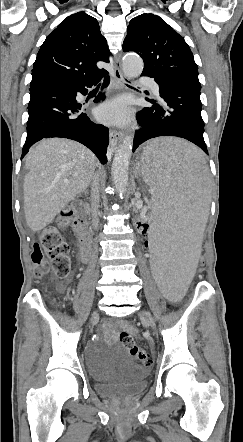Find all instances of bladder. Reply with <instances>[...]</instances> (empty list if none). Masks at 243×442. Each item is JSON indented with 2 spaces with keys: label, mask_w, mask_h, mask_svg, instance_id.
I'll return each instance as SVG.
<instances>
[{
  "label": "bladder",
  "mask_w": 243,
  "mask_h": 442,
  "mask_svg": "<svg viewBox=\"0 0 243 442\" xmlns=\"http://www.w3.org/2000/svg\"><path fill=\"white\" fill-rule=\"evenodd\" d=\"M88 372L95 382V391L108 398L134 397L147 385V370L127 358L91 357Z\"/></svg>",
  "instance_id": "obj_1"
}]
</instances>
